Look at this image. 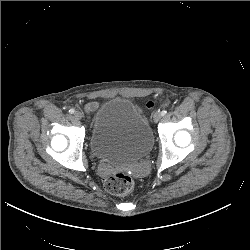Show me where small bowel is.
I'll return each instance as SVG.
<instances>
[{"mask_svg":"<svg viewBox=\"0 0 250 250\" xmlns=\"http://www.w3.org/2000/svg\"><path fill=\"white\" fill-rule=\"evenodd\" d=\"M97 107H98L97 103L91 102L86 105V110L88 112H93L94 110H96Z\"/></svg>","mask_w":250,"mask_h":250,"instance_id":"1","label":"small bowel"}]
</instances>
